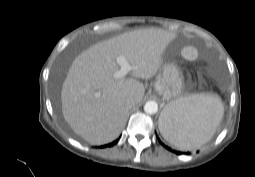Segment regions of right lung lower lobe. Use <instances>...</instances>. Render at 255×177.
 <instances>
[{"label":"right lung lower lobe","instance_id":"1","mask_svg":"<svg viewBox=\"0 0 255 177\" xmlns=\"http://www.w3.org/2000/svg\"><path fill=\"white\" fill-rule=\"evenodd\" d=\"M117 142H118V139H117V140H115L114 142H112V143L108 144L107 146L111 147V146H113L114 144H116ZM104 147H106V146H104Z\"/></svg>","mask_w":255,"mask_h":177}]
</instances>
